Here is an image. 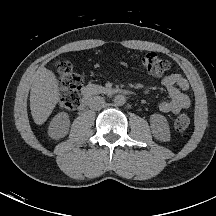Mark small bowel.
<instances>
[{
	"instance_id": "c3829d8e",
	"label": "small bowel",
	"mask_w": 216,
	"mask_h": 216,
	"mask_svg": "<svg viewBox=\"0 0 216 216\" xmlns=\"http://www.w3.org/2000/svg\"><path fill=\"white\" fill-rule=\"evenodd\" d=\"M161 82L169 96L168 100L162 101L158 105L161 112L178 114L190 107L191 101L186 94L189 83L183 75L178 73L169 74L164 76Z\"/></svg>"
}]
</instances>
